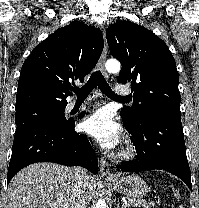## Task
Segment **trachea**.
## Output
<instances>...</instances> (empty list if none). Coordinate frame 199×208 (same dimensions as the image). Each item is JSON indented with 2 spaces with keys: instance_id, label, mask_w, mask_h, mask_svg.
Instances as JSON below:
<instances>
[{
  "instance_id": "obj_1",
  "label": "trachea",
  "mask_w": 199,
  "mask_h": 208,
  "mask_svg": "<svg viewBox=\"0 0 199 208\" xmlns=\"http://www.w3.org/2000/svg\"><path fill=\"white\" fill-rule=\"evenodd\" d=\"M98 86L100 90L108 97L117 100V101H124L127 102V98H120L115 95V93L112 91L109 84L106 82L104 76L100 71H95L90 79L87 81V83L82 86L80 89L74 90V92L78 95V99H85L90 94V92Z\"/></svg>"
}]
</instances>
